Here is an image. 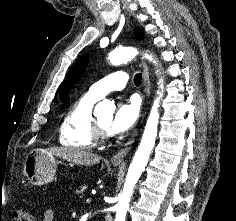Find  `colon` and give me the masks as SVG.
Returning <instances> with one entry per match:
<instances>
[{"instance_id": "1", "label": "colon", "mask_w": 236, "mask_h": 221, "mask_svg": "<svg viewBox=\"0 0 236 221\" xmlns=\"http://www.w3.org/2000/svg\"><path fill=\"white\" fill-rule=\"evenodd\" d=\"M12 221H34L32 213L27 209H18L13 216Z\"/></svg>"}]
</instances>
